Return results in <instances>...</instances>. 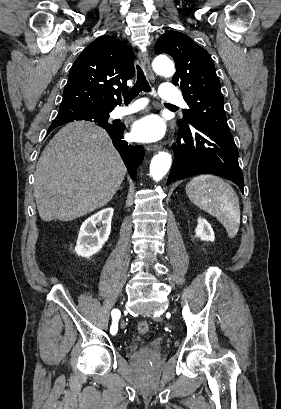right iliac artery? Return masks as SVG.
Instances as JSON below:
<instances>
[{
  "label": "right iliac artery",
  "mask_w": 281,
  "mask_h": 409,
  "mask_svg": "<svg viewBox=\"0 0 281 409\" xmlns=\"http://www.w3.org/2000/svg\"><path fill=\"white\" fill-rule=\"evenodd\" d=\"M111 314L113 322L110 328V333L114 335L118 330V320L120 318V311L118 309H113Z\"/></svg>",
  "instance_id": "1"
}]
</instances>
